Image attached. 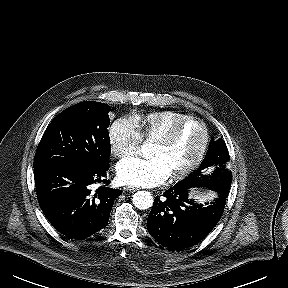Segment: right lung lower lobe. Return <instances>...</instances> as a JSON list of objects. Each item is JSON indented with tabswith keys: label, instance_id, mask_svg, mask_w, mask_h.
Segmentation results:
<instances>
[{
	"label": "right lung lower lobe",
	"instance_id": "obj_1",
	"mask_svg": "<svg viewBox=\"0 0 288 288\" xmlns=\"http://www.w3.org/2000/svg\"><path fill=\"white\" fill-rule=\"evenodd\" d=\"M109 164L93 171L50 166L34 170L39 205L51 225L71 239H83L104 228L114 200L121 194L106 185Z\"/></svg>",
	"mask_w": 288,
	"mask_h": 288
}]
</instances>
